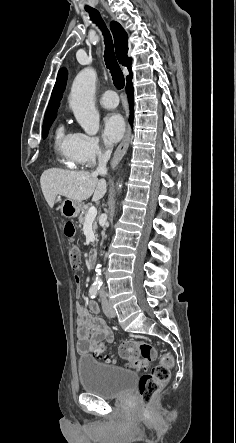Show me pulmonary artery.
I'll list each match as a JSON object with an SVG mask.
<instances>
[{"label":"pulmonary artery","mask_w":236,"mask_h":443,"mask_svg":"<svg viewBox=\"0 0 236 443\" xmlns=\"http://www.w3.org/2000/svg\"><path fill=\"white\" fill-rule=\"evenodd\" d=\"M118 99L116 98V93L112 90L104 92L100 98L99 103L105 108H115L118 105Z\"/></svg>","instance_id":"obj_1"}]
</instances>
